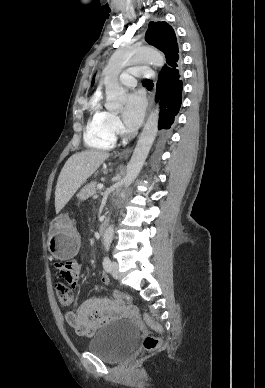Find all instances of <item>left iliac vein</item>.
Returning <instances> with one entry per match:
<instances>
[{
    "label": "left iliac vein",
    "instance_id": "4c4485c4",
    "mask_svg": "<svg viewBox=\"0 0 265 388\" xmlns=\"http://www.w3.org/2000/svg\"><path fill=\"white\" fill-rule=\"evenodd\" d=\"M111 274L115 279L119 278V265L117 262H113L112 264V269H111Z\"/></svg>",
    "mask_w": 265,
    "mask_h": 388
}]
</instances>
